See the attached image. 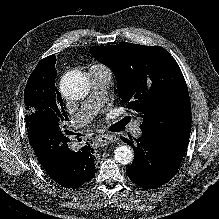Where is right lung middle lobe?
I'll use <instances>...</instances> for the list:
<instances>
[{"mask_svg": "<svg viewBox=\"0 0 219 219\" xmlns=\"http://www.w3.org/2000/svg\"><path fill=\"white\" fill-rule=\"evenodd\" d=\"M55 59H44L38 63L30 75L24 90L27 128L39 123H49L62 131L68 117L63 109V101L55 88Z\"/></svg>", "mask_w": 219, "mask_h": 219, "instance_id": "1", "label": "right lung middle lobe"}]
</instances>
